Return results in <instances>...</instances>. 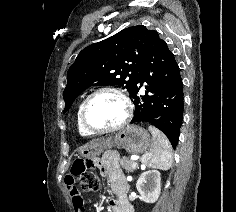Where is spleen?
I'll return each instance as SVG.
<instances>
[{
  "label": "spleen",
  "instance_id": "obj_1",
  "mask_svg": "<svg viewBox=\"0 0 236 212\" xmlns=\"http://www.w3.org/2000/svg\"><path fill=\"white\" fill-rule=\"evenodd\" d=\"M149 131L153 136L150 152H146L141 161L147 167L168 170L172 166V147L167 137L156 127L150 125Z\"/></svg>",
  "mask_w": 236,
  "mask_h": 212
}]
</instances>
